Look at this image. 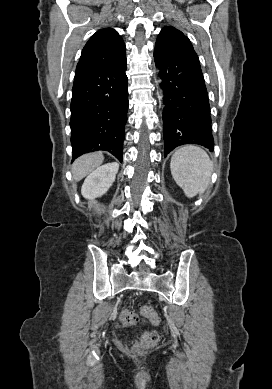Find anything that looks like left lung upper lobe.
I'll use <instances>...</instances> for the list:
<instances>
[{"label": "left lung upper lobe", "mask_w": 272, "mask_h": 389, "mask_svg": "<svg viewBox=\"0 0 272 389\" xmlns=\"http://www.w3.org/2000/svg\"><path fill=\"white\" fill-rule=\"evenodd\" d=\"M155 49L178 59L199 61L190 40L178 29L165 26L157 37Z\"/></svg>", "instance_id": "5c2ea615"}]
</instances>
